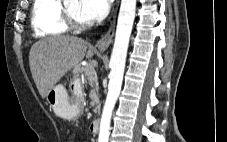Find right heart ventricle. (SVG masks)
Listing matches in <instances>:
<instances>
[{"label": "right heart ventricle", "instance_id": "1", "mask_svg": "<svg viewBox=\"0 0 227 142\" xmlns=\"http://www.w3.org/2000/svg\"><path fill=\"white\" fill-rule=\"evenodd\" d=\"M61 0H34L31 26L38 38L60 36L69 32L61 16Z\"/></svg>", "mask_w": 227, "mask_h": 142}]
</instances>
